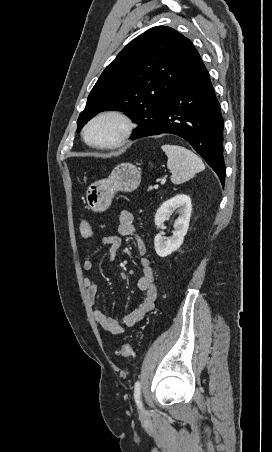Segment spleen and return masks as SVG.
<instances>
[{"label": "spleen", "instance_id": "1", "mask_svg": "<svg viewBox=\"0 0 272 452\" xmlns=\"http://www.w3.org/2000/svg\"><path fill=\"white\" fill-rule=\"evenodd\" d=\"M162 150L168 157L167 167L171 171L173 184H182L205 169V165L191 150L177 145H162Z\"/></svg>", "mask_w": 272, "mask_h": 452}]
</instances>
